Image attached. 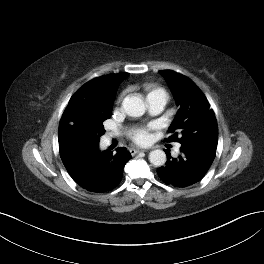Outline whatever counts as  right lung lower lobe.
Returning <instances> with one entry per match:
<instances>
[{
    "label": "right lung lower lobe",
    "instance_id": "1",
    "mask_svg": "<svg viewBox=\"0 0 264 264\" xmlns=\"http://www.w3.org/2000/svg\"><path fill=\"white\" fill-rule=\"evenodd\" d=\"M99 141H59L60 156L70 176L82 188L96 193L118 186L123 168L131 159L130 152L124 147L117 148L116 153L100 150Z\"/></svg>",
    "mask_w": 264,
    "mask_h": 264
}]
</instances>
